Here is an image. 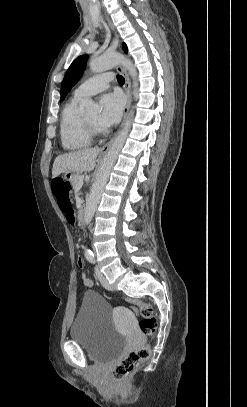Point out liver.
Listing matches in <instances>:
<instances>
[{
    "instance_id": "obj_1",
    "label": "liver",
    "mask_w": 247,
    "mask_h": 407,
    "mask_svg": "<svg viewBox=\"0 0 247 407\" xmlns=\"http://www.w3.org/2000/svg\"><path fill=\"white\" fill-rule=\"evenodd\" d=\"M99 152L100 149L95 147L58 156L53 164L52 178H56L64 172L82 173L92 171Z\"/></svg>"
}]
</instances>
